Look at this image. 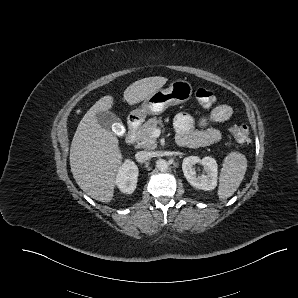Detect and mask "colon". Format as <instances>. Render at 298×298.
I'll return each instance as SVG.
<instances>
[{
    "mask_svg": "<svg viewBox=\"0 0 298 298\" xmlns=\"http://www.w3.org/2000/svg\"><path fill=\"white\" fill-rule=\"evenodd\" d=\"M196 99L200 106L210 107L216 100L215 93L208 88H199L196 91ZM230 134L239 143H246L249 140V128L243 122H237L230 127Z\"/></svg>",
    "mask_w": 298,
    "mask_h": 298,
    "instance_id": "1",
    "label": "colon"
}]
</instances>
